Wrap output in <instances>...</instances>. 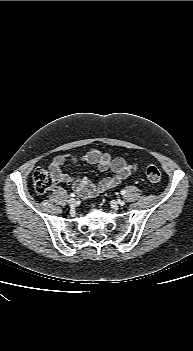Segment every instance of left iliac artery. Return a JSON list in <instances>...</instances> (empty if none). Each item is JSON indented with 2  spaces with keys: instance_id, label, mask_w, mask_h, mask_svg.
Listing matches in <instances>:
<instances>
[{
  "instance_id": "1",
  "label": "left iliac artery",
  "mask_w": 193,
  "mask_h": 351,
  "mask_svg": "<svg viewBox=\"0 0 193 351\" xmlns=\"http://www.w3.org/2000/svg\"><path fill=\"white\" fill-rule=\"evenodd\" d=\"M125 193H126L125 190H122V191H121V195H124Z\"/></svg>"
}]
</instances>
